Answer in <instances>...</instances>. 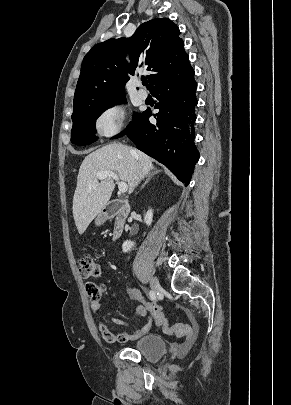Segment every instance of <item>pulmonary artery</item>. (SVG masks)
I'll use <instances>...</instances> for the list:
<instances>
[{"label": "pulmonary artery", "mask_w": 291, "mask_h": 405, "mask_svg": "<svg viewBox=\"0 0 291 405\" xmlns=\"http://www.w3.org/2000/svg\"><path fill=\"white\" fill-rule=\"evenodd\" d=\"M137 95L140 99L145 100L148 97V92L143 88H139Z\"/></svg>", "instance_id": "pulmonary-artery-1"}]
</instances>
